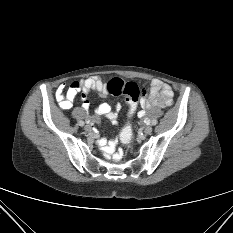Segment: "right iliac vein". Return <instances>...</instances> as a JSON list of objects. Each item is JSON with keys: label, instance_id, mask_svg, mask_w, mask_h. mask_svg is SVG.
Returning a JSON list of instances; mask_svg holds the SVG:
<instances>
[{"label": "right iliac vein", "instance_id": "1", "mask_svg": "<svg viewBox=\"0 0 233 233\" xmlns=\"http://www.w3.org/2000/svg\"><path fill=\"white\" fill-rule=\"evenodd\" d=\"M84 129L87 131V132H91L92 131V128L90 125H85L84 126Z\"/></svg>", "mask_w": 233, "mask_h": 233}]
</instances>
